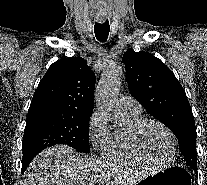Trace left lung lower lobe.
Instances as JSON below:
<instances>
[{"mask_svg": "<svg viewBox=\"0 0 207 185\" xmlns=\"http://www.w3.org/2000/svg\"><path fill=\"white\" fill-rule=\"evenodd\" d=\"M193 168V170L197 173V164H194L191 166Z\"/></svg>", "mask_w": 207, "mask_h": 185, "instance_id": "1", "label": "left lung lower lobe"}]
</instances>
